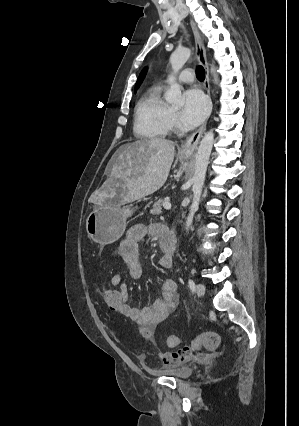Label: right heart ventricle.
I'll return each instance as SVG.
<instances>
[{
  "label": "right heart ventricle",
  "instance_id": "right-heart-ventricle-1",
  "mask_svg": "<svg viewBox=\"0 0 299 426\" xmlns=\"http://www.w3.org/2000/svg\"><path fill=\"white\" fill-rule=\"evenodd\" d=\"M162 87L155 85L138 101L135 110L134 131L140 138H164L171 126V109L161 96Z\"/></svg>",
  "mask_w": 299,
  "mask_h": 426
}]
</instances>
